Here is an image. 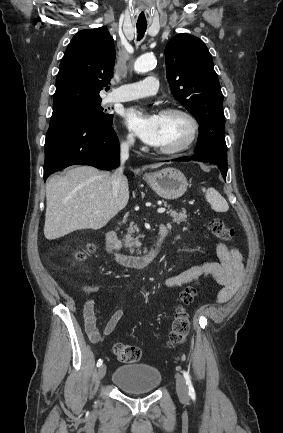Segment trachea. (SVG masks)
I'll return each instance as SVG.
<instances>
[{
  "label": "trachea",
  "mask_w": 283,
  "mask_h": 433,
  "mask_svg": "<svg viewBox=\"0 0 283 433\" xmlns=\"http://www.w3.org/2000/svg\"><path fill=\"white\" fill-rule=\"evenodd\" d=\"M147 25H137V40L140 41L146 32Z\"/></svg>",
  "instance_id": "obj_1"
}]
</instances>
